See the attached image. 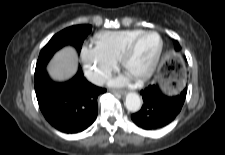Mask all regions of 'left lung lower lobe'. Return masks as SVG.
Returning a JSON list of instances; mask_svg holds the SVG:
<instances>
[{"label":"left lung lower lobe","instance_id":"obj_1","mask_svg":"<svg viewBox=\"0 0 225 155\" xmlns=\"http://www.w3.org/2000/svg\"><path fill=\"white\" fill-rule=\"evenodd\" d=\"M186 93L184 88L174 96H167L156 85H149L140 92L144 101L141 110L131 118L136 125L147 130L166 126L181 111Z\"/></svg>","mask_w":225,"mask_h":155}]
</instances>
